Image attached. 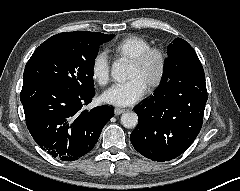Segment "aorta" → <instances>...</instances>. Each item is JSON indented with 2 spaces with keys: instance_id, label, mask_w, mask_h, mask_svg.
<instances>
[{
  "instance_id": "aorta-1",
  "label": "aorta",
  "mask_w": 240,
  "mask_h": 191,
  "mask_svg": "<svg viewBox=\"0 0 240 191\" xmlns=\"http://www.w3.org/2000/svg\"><path fill=\"white\" fill-rule=\"evenodd\" d=\"M111 75L117 82L123 83L127 80L129 75V66L122 60H116L111 69ZM138 116L135 112H126L121 116V124L125 128H134L137 126Z\"/></svg>"
}]
</instances>
